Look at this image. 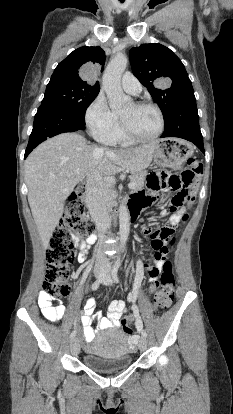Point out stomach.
Segmentation results:
<instances>
[{"mask_svg":"<svg viewBox=\"0 0 233 414\" xmlns=\"http://www.w3.org/2000/svg\"><path fill=\"white\" fill-rule=\"evenodd\" d=\"M192 153V147L187 142L176 138H166L156 141L153 160L159 166L178 170L187 162Z\"/></svg>","mask_w":233,"mask_h":414,"instance_id":"stomach-1","label":"stomach"}]
</instances>
